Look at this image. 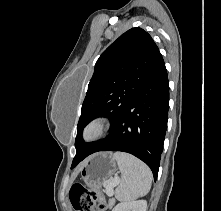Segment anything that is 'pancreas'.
Masks as SVG:
<instances>
[{
	"instance_id": "1",
	"label": "pancreas",
	"mask_w": 221,
	"mask_h": 211,
	"mask_svg": "<svg viewBox=\"0 0 221 211\" xmlns=\"http://www.w3.org/2000/svg\"><path fill=\"white\" fill-rule=\"evenodd\" d=\"M106 193H107V192H106ZM111 195H113V192H112ZM114 203H115V200H114V199H110L108 206L111 208V207L114 205Z\"/></svg>"
}]
</instances>
